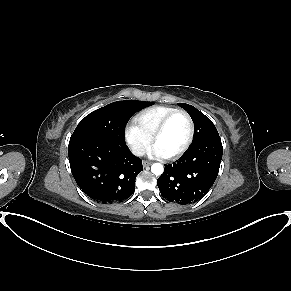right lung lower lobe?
<instances>
[{
  "mask_svg": "<svg viewBox=\"0 0 291 291\" xmlns=\"http://www.w3.org/2000/svg\"><path fill=\"white\" fill-rule=\"evenodd\" d=\"M71 172L78 186L91 199L102 204L122 202L135 190L142 160L126 143L95 138L69 142Z\"/></svg>",
  "mask_w": 291,
  "mask_h": 291,
  "instance_id": "right-lung-lower-lobe-1",
  "label": "right lung lower lobe"
}]
</instances>
